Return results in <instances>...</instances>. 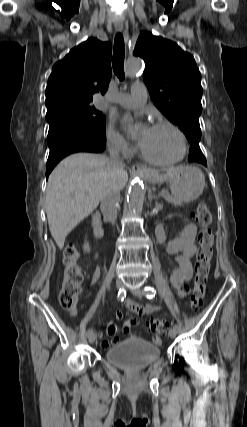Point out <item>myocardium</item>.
Masks as SVG:
<instances>
[{
    "instance_id": "myocardium-1",
    "label": "myocardium",
    "mask_w": 247,
    "mask_h": 427,
    "mask_svg": "<svg viewBox=\"0 0 247 427\" xmlns=\"http://www.w3.org/2000/svg\"><path fill=\"white\" fill-rule=\"evenodd\" d=\"M153 127H167L170 130H172L176 134V136L179 140V152H178L177 156L172 158V159L160 160V159H155V158L150 157L140 147L141 157L145 161H147L148 163L153 164V165H157V166H170V165H174V164L179 163L185 157V154L187 151L186 137H185L184 133L182 132V130L178 126L173 124L172 122L166 121V120L158 121L157 123H155L153 125Z\"/></svg>"
}]
</instances>
